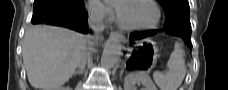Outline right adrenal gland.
Returning a JSON list of instances; mask_svg holds the SVG:
<instances>
[{
  "label": "right adrenal gland",
  "instance_id": "right-adrenal-gland-1",
  "mask_svg": "<svg viewBox=\"0 0 228 90\" xmlns=\"http://www.w3.org/2000/svg\"><path fill=\"white\" fill-rule=\"evenodd\" d=\"M83 72H84V69L77 70V71H75L72 75H73V76L81 75V74H83Z\"/></svg>",
  "mask_w": 228,
  "mask_h": 90
}]
</instances>
